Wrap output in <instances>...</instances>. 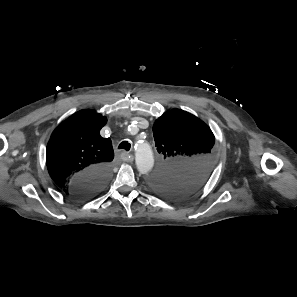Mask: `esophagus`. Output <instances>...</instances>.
Masks as SVG:
<instances>
[{"label": "esophagus", "instance_id": "esophagus-1", "mask_svg": "<svg viewBox=\"0 0 297 297\" xmlns=\"http://www.w3.org/2000/svg\"><path fill=\"white\" fill-rule=\"evenodd\" d=\"M121 159L125 162H132L133 161V156L131 154H129L128 152H121Z\"/></svg>", "mask_w": 297, "mask_h": 297}]
</instances>
